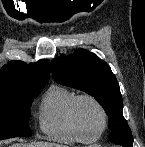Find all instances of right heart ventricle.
<instances>
[{
  "label": "right heart ventricle",
  "mask_w": 145,
  "mask_h": 147,
  "mask_svg": "<svg viewBox=\"0 0 145 147\" xmlns=\"http://www.w3.org/2000/svg\"><path fill=\"white\" fill-rule=\"evenodd\" d=\"M78 93L64 85H52L43 95L38 110L40 131L61 143L92 142L89 134L77 130L72 119V105Z\"/></svg>",
  "instance_id": "1"
}]
</instances>
